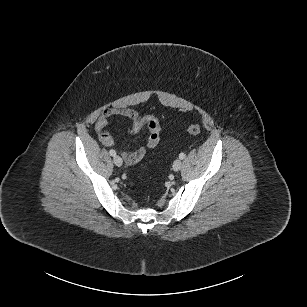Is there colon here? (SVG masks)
<instances>
[{"mask_svg":"<svg viewBox=\"0 0 307 307\" xmlns=\"http://www.w3.org/2000/svg\"><path fill=\"white\" fill-rule=\"evenodd\" d=\"M186 130L192 135H198L201 132V127L198 124H190L186 126Z\"/></svg>","mask_w":307,"mask_h":307,"instance_id":"colon-1","label":"colon"}]
</instances>
